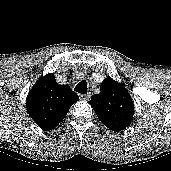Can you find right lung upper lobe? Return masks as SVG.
<instances>
[{
    "label": "right lung upper lobe",
    "mask_w": 171,
    "mask_h": 171,
    "mask_svg": "<svg viewBox=\"0 0 171 171\" xmlns=\"http://www.w3.org/2000/svg\"><path fill=\"white\" fill-rule=\"evenodd\" d=\"M78 100V95L68 85H59L53 74H47L30 90L26 108L34 122L47 131L58 126Z\"/></svg>",
    "instance_id": "right-lung-upper-lobe-1"
}]
</instances>
